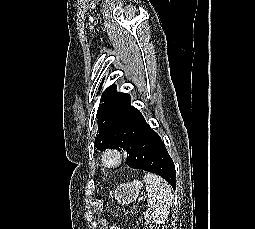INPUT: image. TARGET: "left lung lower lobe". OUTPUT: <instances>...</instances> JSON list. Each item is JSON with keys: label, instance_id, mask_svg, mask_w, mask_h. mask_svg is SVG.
I'll return each mask as SVG.
<instances>
[{"label": "left lung lower lobe", "instance_id": "1", "mask_svg": "<svg viewBox=\"0 0 255 229\" xmlns=\"http://www.w3.org/2000/svg\"><path fill=\"white\" fill-rule=\"evenodd\" d=\"M111 124L129 139L126 164L160 175L175 190L174 163L160 136L150 128L140 111L131 106L129 94L111 115Z\"/></svg>", "mask_w": 255, "mask_h": 229}]
</instances>
